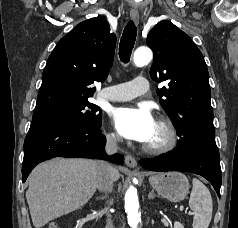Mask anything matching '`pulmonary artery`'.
I'll list each match as a JSON object with an SVG mask.
<instances>
[{
  "mask_svg": "<svg viewBox=\"0 0 238 228\" xmlns=\"http://www.w3.org/2000/svg\"><path fill=\"white\" fill-rule=\"evenodd\" d=\"M148 90V79L138 76L129 82L104 88L101 97L110 101H125L141 96Z\"/></svg>",
  "mask_w": 238,
  "mask_h": 228,
  "instance_id": "pulmonary-artery-1",
  "label": "pulmonary artery"
}]
</instances>
